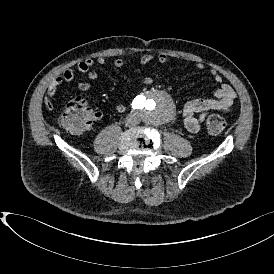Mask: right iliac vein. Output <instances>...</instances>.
Listing matches in <instances>:
<instances>
[{
  "label": "right iliac vein",
  "instance_id": "63e3f726",
  "mask_svg": "<svg viewBox=\"0 0 274 274\" xmlns=\"http://www.w3.org/2000/svg\"><path fill=\"white\" fill-rule=\"evenodd\" d=\"M133 124V119L131 117L127 118L126 125L131 126Z\"/></svg>",
  "mask_w": 274,
  "mask_h": 274
}]
</instances>
